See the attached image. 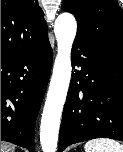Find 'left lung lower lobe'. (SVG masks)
I'll return each instance as SVG.
<instances>
[{"mask_svg": "<svg viewBox=\"0 0 123 152\" xmlns=\"http://www.w3.org/2000/svg\"><path fill=\"white\" fill-rule=\"evenodd\" d=\"M59 152L95 139L123 141V55L76 37Z\"/></svg>", "mask_w": 123, "mask_h": 152, "instance_id": "1", "label": "left lung lower lobe"}]
</instances>
